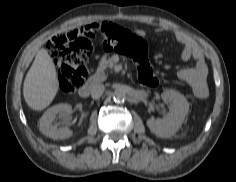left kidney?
Instances as JSON below:
<instances>
[{
    "mask_svg": "<svg viewBox=\"0 0 236 182\" xmlns=\"http://www.w3.org/2000/svg\"><path fill=\"white\" fill-rule=\"evenodd\" d=\"M163 101L170 103L169 113L163 119H148L150 131L161 138L173 136L181 127L189 111L187 99L178 91L165 90L161 94Z\"/></svg>",
    "mask_w": 236,
    "mask_h": 182,
    "instance_id": "left-kidney-1",
    "label": "left kidney"
}]
</instances>
